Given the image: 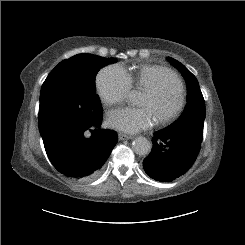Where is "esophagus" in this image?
I'll return each instance as SVG.
<instances>
[{"label":"esophagus","mask_w":245,"mask_h":245,"mask_svg":"<svg viewBox=\"0 0 245 245\" xmlns=\"http://www.w3.org/2000/svg\"><path fill=\"white\" fill-rule=\"evenodd\" d=\"M118 138L120 140H129V139H132L133 136L132 135H128V134H124V133H119L118 134Z\"/></svg>","instance_id":"obj_1"}]
</instances>
